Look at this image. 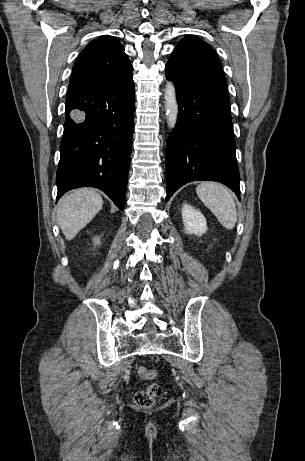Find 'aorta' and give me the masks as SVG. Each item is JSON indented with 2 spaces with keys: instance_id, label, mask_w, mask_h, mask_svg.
I'll use <instances>...</instances> for the list:
<instances>
[{
  "instance_id": "obj_1",
  "label": "aorta",
  "mask_w": 305,
  "mask_h": 461,
  "mask_svg": "<svg viewBox=\"0 0 305 461\" xmlns=\"http://www.w3.org/2000/svg\"><path fill=\"white\" fill-rule=\"evenodd\" d=\"M164 98L167 121L170 130H172L176 125L178 116L176 90L172 82H168L166 84Z\"/></svg>"
}]
</instances>
